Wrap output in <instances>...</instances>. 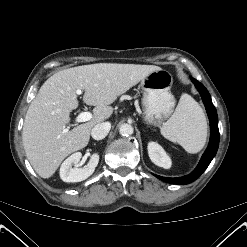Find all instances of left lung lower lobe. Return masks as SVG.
<instances>
[{
	"instance_id": "left-lung-lower-lobe-1",
	"label": "left lung lower lobe",
	"mask_w": 247,
	"mask_h": 247,
	"mask_svg": "<svg viewBox=\"0 0 247 247\" xmlns=\"http://www.w3.org/2000/svg\"><path fill=\"white\" fill-rule=\"evenodd\" d=\"M192 82L196 86L197 90L199 91L204 105L206 107V111L210 121V141L209 145L203 154L198 166L195 170L187 176L179 177V178H167L155 175L157 178L161 179L162 181L172 183V184H189L195 181L208 167L212 159L214 158L218 146H219V129H218V117L216 109L212 103L210 94L208 93L207 89L196 79L191 77Z\"/></svg>"
}]
</instances>
